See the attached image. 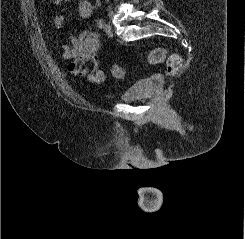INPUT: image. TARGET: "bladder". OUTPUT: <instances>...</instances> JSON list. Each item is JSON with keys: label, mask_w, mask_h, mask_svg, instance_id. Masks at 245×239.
Returning a JSON list of instances; mask_svg holds the SVG:
<instances>
[{"label": "bladder", "mask_w": 245, "mask_h": 239, "mask_svg": "<svg viewBox=\"0 0 245 239\" xmlns=\"http://www.w3.org/2000/svg\"><path fill=\"white\" fill-rule=\"evenodd\" d=\"M155 87L154 79L138 80L120 92L118 98L123 101H133L150 94Z\"/></svg>", "instance_id": "obj_1"}]
</instances>
